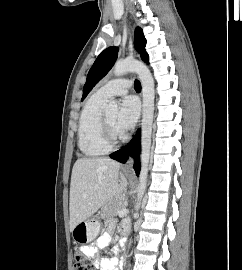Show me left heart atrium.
Instances as JSON below:
<instances>
[{"mask_svg": "<svg viewBox=\"0 0 242 270\" xmlns=\"http://www.w3.org/2000/svg\"><path fill=\"white\" fill-rule=\"evenodd\" d=\"M139 112L140 105L135 97L129 96L122 101L117 117V126L121 132L134 127L139 117Z\"/></svg>", "mask_w": 242, "mask_h": 270, "instance_id": "1", "label": "left heart atrium"}]
</instances>
